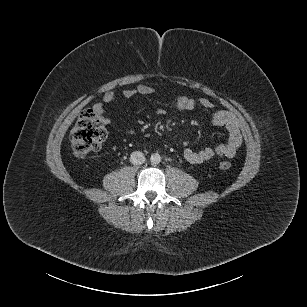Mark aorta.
<instances>
[{
    "label": "aorta",
    "mask_w": 307,
    "mask_h": 307,
    "mask_svg": "<svg viewBox=\"0 0 307 307\" xmlns=\"http://www.w3.org/2000/svg\"><path fill=\"white\" fill-rule=\"evenodd\" d=\"M161 160H162L161 156L157 153L152 154L150 157V161L152 164H159Z\"/></svg>",
    "instance_id": "aorta-1"
}]
</instances>
